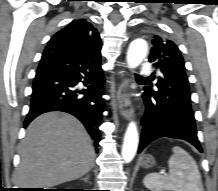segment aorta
<instances>
[{"instance_id": "obj_1", "label": "aorta", "mask_w": 218, "mask_h": 191, "mask_svg": "<svg viewBox=\"0 0 218 191\" xmlns=\"http://www.w3.org/2000/svg\"><path fill=\"white\" fill-rule=\"evenodd\" d=\"M148 45L143 39H135L129 45L127 51V65L129 68L134 69L140 65V63L147 56ZM139 143V135L137 125L135 122H130L124 135V141L122 145V157L126 163L133 160Z\"/></svg>"}]
</instances>
